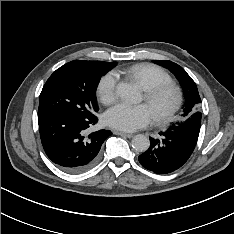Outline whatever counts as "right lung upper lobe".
Listing matches in <instances>:
<instances>
[{
	"label": "right lung upper lobe",
	"instance_id": "cb5924a9",
	"mask_svg": "<svg viewBox=\"0 0 234 234\" xmlns=\"http://www.w3.org/2000/svg\"><path fill=\"white\" fill-rule=\"evenodd\" d=\"M91 62L102 63V64H105V65L114 63V62H102V61H91Z\"/></svg>",
	"mask_w": 234,
	"mask_h": 234
}]
</instances>
